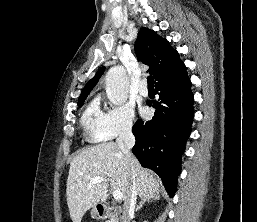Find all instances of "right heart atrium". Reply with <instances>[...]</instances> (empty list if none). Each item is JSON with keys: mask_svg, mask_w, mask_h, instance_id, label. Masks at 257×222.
Wrapping results in <instances>:
<instances>
[{"mask_svg": "<svg viewBox=\"0 0 257 222\" xmlns=\"http://www.w3.org/2000/svg\"><path fill=\"white\" fill-rule=\"evenodd\" d=\"M113 113L116 115H121L124 118V123L119 129H114L106 122L107 116L102 114L99 122V132L97 140H110L122 135H127L131 133L134 127L135 114L132 106L128 104H122L114 107Z\"/></svg>", "mask_w": 257, "mask_h": 222, "instance_id": "obj_1", "label": "right heart atrium"}]
</instances>
